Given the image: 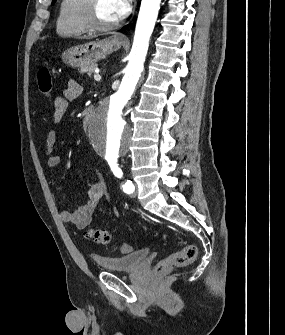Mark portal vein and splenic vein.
<instances>
[{"mask_svg": "<svg viewBox=\"0 0 285 335\" xmlns=\"http://www.w3.org/2000/svg\"><path fill=\"white\" fill-rule=\"evenodd\" d=\"M95 72H96V74H94V80H96V82H100L101 76H99V74H98L99 70H97V68H96Z\"/></svg>", "mask_w": 285, "mask_h": 335, "instance_id": "18ae733b", "label": "portal vein and splenic vein"}]
</instances>
